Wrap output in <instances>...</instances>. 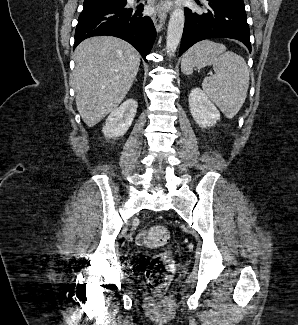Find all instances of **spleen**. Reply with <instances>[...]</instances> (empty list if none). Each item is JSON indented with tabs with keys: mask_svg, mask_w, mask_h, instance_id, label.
<instances>
[{
	"mask_svg": "<svg viewBox=\"0 0 298 325\" xmlns=\"http://www.w3.org/2000/svg\"><path fill=\"white\" fill-rule=\"evenodd\" d=\"M195 66H212L215 74L204 78L202 88L226 118H233L244 104L249 88V68L243 56L226 50L221 42L200 40L185 52L181 70L191 74Z\"/></svg>",
	"mask_w": 298,
	"mask_h": 325,
	"instance_id": "obj_1",
	"label": "spleen"
}]
</instances>
